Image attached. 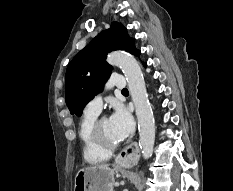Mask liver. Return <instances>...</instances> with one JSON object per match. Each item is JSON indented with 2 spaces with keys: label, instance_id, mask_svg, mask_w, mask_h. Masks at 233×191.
Wrapping results in <instances>:
<instances>
[{
  "label": "liver",
  "instance_id": "obj_1",
  "mask_svg": "<svg viewBox=\"0 0 233 191\" xmlns=\"http://www.w3.org/2000/svg\"><path fill=\"white\" fill-rule=\"evenodd\" d=\"M93 167H97V168H108L109 165H108V164H101V165L93 166Z\"/></svg>",
  "mask_w": 233,
  "mask_h": 191
}]
</instances>
